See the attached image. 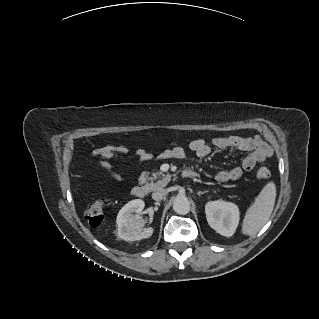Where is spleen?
I'll list each match as a JSON object with an SVG mask.
<instances>
[{
	"label": "spleen",
	"mask_w": 319,
	"mask_h": 319,
	"mask_svg": "<svg viewBox=\"0 0 319 319\" xmlns=\"http://www.w3.org/2000/svg\"><path fill=\"white\" fill-rule=\"evenodd\" d=\"M276 199V187L268 182L247 209L242 224L244 235H255L269 220Z\"/></svg>",
	"instance_id": "spleen-1"
}]
</instances>
